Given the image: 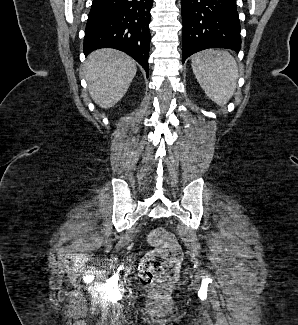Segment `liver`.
<instances>
[{
  "label": "liver",
  "mask_w": 298,
  "mask_h": 325,
  "mask_svg": "<svg viewBox=\"0 0 298 325\" xmlns=\"http://www.w3.org/2000/svg\"><path fill=\"white\" fill-rule=\"evenodd\" d=\"M136 70L135 60L120 50L99 48L90 52L84 76L94 102L101 108L114 106L127 92Z\"/></svg>",
  "instance_id": "liver-1"
}]
</instances>
